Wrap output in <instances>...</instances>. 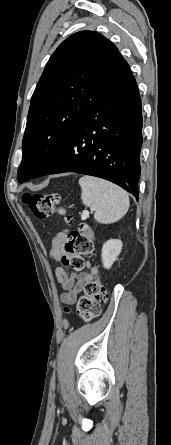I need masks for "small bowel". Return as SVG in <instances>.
<instances>
[{
    "mask_svg": "<svg viewBox=\"0 0 171 445\" xmlns=\"http://www.w3.org/2000/svg\"><path fill=\"white\" fill-rule=\"evenodd\" d=\"M68 230L58 232L50 241L49 258L60 262L65 255V244L68 239ZM58 283L65 290L61 294V300L65 304H73L81 293L86 282L92 279V275L87 271L66 272L62 268L55 270Z\"/></svg>",
    "mask_w": 171,
    "mask_h": 445,
    "instance_id": "obj_1",
    "label": "small bowel"
}]
</instances>
